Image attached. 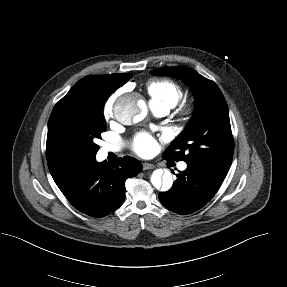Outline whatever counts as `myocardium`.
<instances>
[{
  "label": "myocardium",
  "mask_w": 287,
  "mask_h": 287,
  "mask_svg": "<svg viewBox=\"0 0 287 287\" xmlns=\"http://www.w3.org/2000/svg\"><path fill=\"white\" fill-rule=\"evenodd\" d=\"M193 113H194L193 104L187 103L180 108L178 112V118L181 122H187L191 119Z\"/></svg>",
  "instance_id": "myocardium-1"
}]
</instances>
